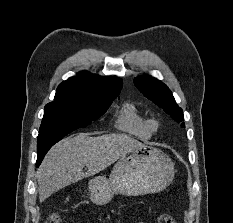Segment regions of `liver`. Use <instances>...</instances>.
<instances>
[{
    "instance_id": "1",
    "label": "liver",
    "mask_w": 233,
    "mask_h": 223,
    "mask_svg": "<svg viewBox=\"0 0 233 223\" xmlns=\"http://www.w3.org/2000/svg\"><path fill=\"white\" fill-rule=\"evenodd\" d=\"M140 143L123 133H106L99 137L78 133L61 139L51 147L36 171L39 201L64 185L100 173ZM85 165L88 171H83Z\"/></svg>"
}]
</instances>
